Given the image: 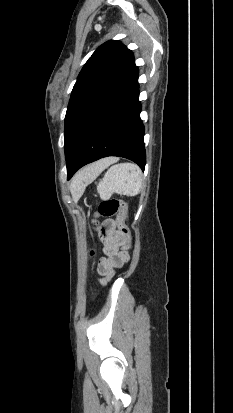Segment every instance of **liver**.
<instances>
[{
  "label": "liver",
  "mask_w": 233,
  "mask_h": 413,
  "mask_svg": "<svg viewBox=\"0 0 233 413\" xmlns=\"http://www.w3.org/2000/svg\"><path fill=\"white\" fill-rule=\"evenodd\" d=\"M110 162H111V159L100 160V161H98V162H96V163H94L90 166H87L83 170H81L79 175L77 176L76 181L74 182V184L71 188L72 192L75 191L78 184H80L82 182V180H86V179L90 178L94 173L103 170L108 164H110Z\"/></svg>",
  "instance_id": "6515ba94"
}]
</instances>
